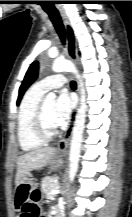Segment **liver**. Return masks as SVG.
Here are the masks:
<instances>
[{"mask_svg": "<svg viewBox=\"0 0 132 217\" xmlns=\"http://www.w3.org/2000/svg\"><path fill=\"white\" fill-rule=\"evenodd\" d=\"M56 154V148L47 147L35 149L19 156L16 163V186H19L23 178L28 175L30 171L45 167L53 162Z\"/></svg>", "mask_w": 132, "mask_h": 217, "instance_id": "obj_1", "label": "liver"}]
</instances>
